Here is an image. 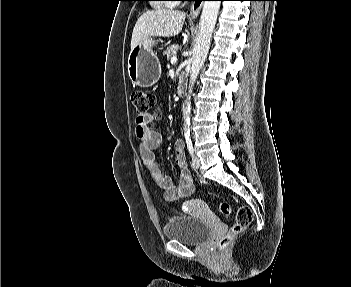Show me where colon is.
<instances>
[{
    "instance_id": "1",
    "label": "colon",
    "mask_w": 351,
    "mask_h": 287,
    "mask_svg": "<svg viewBox=\"0 0 351 287\" xmlns=\"http://www.w3.org/2000/svg\"><path fill=\"white\" fill-rule=\"evenodd\" d=\"M132 103L135 108V112L138 119H144L150 114L152 109L156 108L157 100L153 93L143 90H137L132 93L131 96ZM154 117L159 116V112H154ZM220 212L224 216H229L231 214V207L228 203L223 202L220 205ZM253 219V211L249 206H241L238 208L235 220L230 228L229 232L223 236L219 242L221 247H225L231 241V239L246 229Z\"/></svg>"
}]
</instances>
